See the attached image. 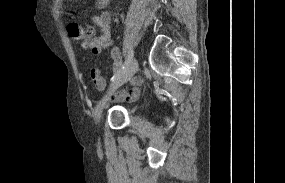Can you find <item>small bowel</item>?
Here are the masks:
<instances>
[{
  "label": "small bowel",
  "mask_w": 285,
  "mask_h": 183,
  "mask_svg": "<svg viewBox=\"0 0 285 183\" xmlns=\"http://www.w3.org/2000/svg\"><path fill=\"white\" fill-rule=\"evenodd\" d=\"M111 0H96V8L99 10L98 13L93 14L91 19L93 23L99 27L102 31V35L99 39L90 44L92 53L99 55L104 51H110L111 58L113 60L112 70L114 75L117 74L122 68V55L120 50L115 47L111 41V24L112 18L107 10ZM90 78L95 84L98 91L102 92L106 87V80L103 77L101 71L98 68H92L90 70ZM142 80L140 78L133 79L131 84L132 87L126 93H118L112 97V101H121L124 97L130 100H135L140 94L139 86Z\"/></svg>",
  "instance_id": "obj_1"
}]
</instances>
